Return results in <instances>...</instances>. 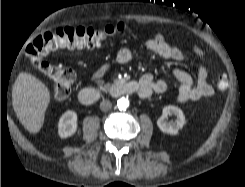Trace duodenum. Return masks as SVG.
Masks as SVG:
<instances>
[{
	"label": "duodenum",
	"mask_w": 245,
	"mask_h": 187,
	"mask_svg": "<svg viewBox=\"0 0 245 187\" xmlns=\"http://www.w3.org/2000/svg\"><path fill=\"white\" fill-rule=\"evenodd\" d=\"M141 85L137 81H118L103 89L85 87L78 93V99L84 104H92L100 100L104 95L120 97L124 95L139 94Z\"/></svg>",
	"instance_id": "410a0bca"
}]
</instances>
